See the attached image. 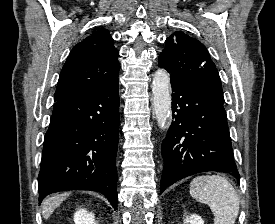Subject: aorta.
<instances>
[{
	"label": "aorta",
	"mask_w": 275,
	"mask_h": 224,
	"mask_svg": "<svg viewBox=\"0 0 275 224\" xmlns=\"http://www.w3.org/2000/svg\"><path fill=\"white\" fill-rule=\"evenodd\" d=\"M153 108L157 123L166 129L171 115L170 77L164 69H158L152 81Z\"/></svg>",
	"instance_id": "aorta-1"
}]
</instances>
